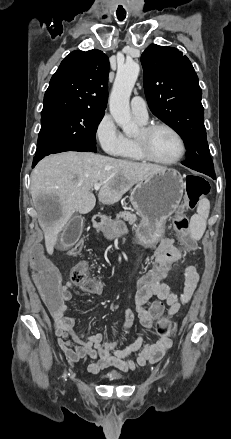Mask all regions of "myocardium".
Listing matches in <instances>:
<instances>
[{"instance_id":"obj_1","label":"myocardium","mask_w":231,"mask_h":439,"mask_svg":"<svg viewBox=\"0 0 231 439\" xmlns=\"http://www.w3.org/2000/svg\"><path fill=\"white\" fill-rule=\"evenodd\" d=\"M158 129L168 130L176 137V139L179 143V153L172 160H169V161L158 160L151 154V152L149 150V147L147 144V139H148L149 135H151L154 131H156ZM134 142H135V145H136V148H137L139 154L142 156V158L144 160L152 162L154 164L162 165V166H172V165L178 163L184 157L185 151H186V145H185V141H184L182 135L171 125L166 124V123H161V122L152 123V124H148V125L143 126L140 129V135L134 138Z\"/></svg>"}]
</instances>
